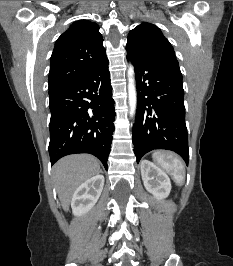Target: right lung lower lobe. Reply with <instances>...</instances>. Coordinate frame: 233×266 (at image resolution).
I'll use <instances>...</instances> for the list:
<instances>
[{
  "label": "right lung lower lobe",
  "mask_w": 233,
  "mask_h": 266,
  "mask_svg": "<svg viewBox=\"0 0 233 266\" xmlns=\"http://www.w3.org/2000/svg\"><path fill=\"white\" fill-rule=\"evenodd\" d=\"M108 59L71 84L49 93L51 165L65 155L90 153L107 170L114 131Z\"/></svg>",
  "instance_id": "98d812e1"
}]
</instances>
